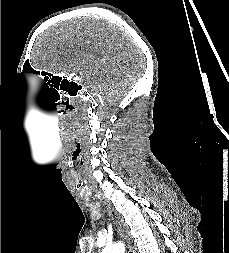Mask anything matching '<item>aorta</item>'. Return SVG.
<instances>
[{"instance_id":"obj_1","label":"aorta","mask_w":229,"mask_h":253,"mask_svg":"<svg viewBox=\"0 0 229 253\" xmlns=\"http://www.w3.org/2000/svg\"><path fill=\"white\" fill-rule=\"evenodd\" d=\"M101 253H125V246L118 242L113 245L106 246Z\"/></svg>"}]
</instances>
